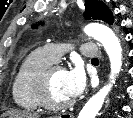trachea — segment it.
Instances as JSON below:
<instances>
[{
  "mask_svg": "<svg viewBox=\"0 0 133 118\" xmlns=\"http://www.w3.org/2000/svg\"><path fill=\"white\" fill-rule=\"evenodd\" d=\"M92 62H98V59L97 58H93Z\"/></svg>",
  "mask_w": 133,
  "mask_h": 118,
  "instance_id": "1",
  "label": "trachea"
}]
</instances>
